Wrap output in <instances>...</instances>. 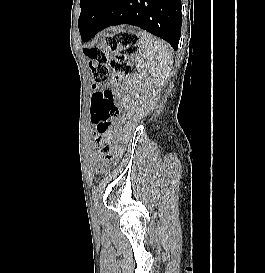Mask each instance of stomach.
<instances>
[{"label":"stomach","mask_w":265,"mask_h":273,"mask_svg":"<svg viewBox=\"0 0 265 273\" xmlns=\"http://www.w3.org/2000/svg\"><path fill=\"white\" fill-rule=\"evenodd\" d=\"M121 30H134V25H121Z\"/></svg>","instance_id":"0dacf381"}]
</instances>
